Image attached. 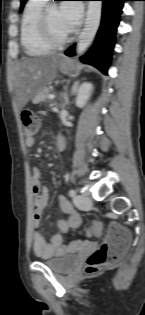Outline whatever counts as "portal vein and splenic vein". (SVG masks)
I'll list each match as a JSON object with an SVG mask.
<instances>
[{
  "instance_id": "portal-vein-and-splenic-vein-1",
  "label": "portal vein and splenic vein",
  "mask_w": 145,
  "mask_h": 315,
  "mask_svg": "<svg viewBox=\"0 0 145 315\" xmlns=\"http://www.w3.org/2000/svg\"><path fill=\"white\" fill-rule=\"evenodd\" d=\"M54 98H55V95H53V94H49V95H48V99L52 100V99H54Z\"/></svg>"
}]
</instances>
